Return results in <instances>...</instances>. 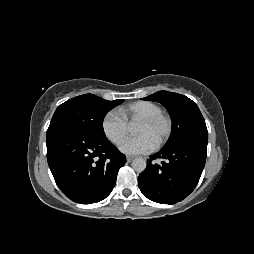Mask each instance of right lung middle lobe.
Returning a JSON list of instances; mask_svg holds the SVG:
<instances>
[{
	"label": "right lung middle lobe",
	"mask_w": 254,
	"mask_h": 254,
	"mask_svg": "<svg viewBox=\"0 0 254 254\" xmlns=\"http://www.w3.org/2000/svg\"><path fill=\"white\" fill-rule=\"evenodd\" d=\"M123 101H108L93 94L77 96L58 106L50 125L67 124L87 133L106 137L103 130L104 117Z\"/></svg>",
	"instance_id": "1"
}]
</instances>
